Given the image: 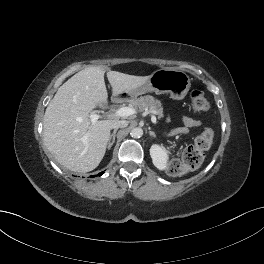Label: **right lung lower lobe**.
<instances>
[{"mask_svg": "<svg viewBox=\"0 0 264 264\" xmlns=\"http://www.w3.org/2000/svg\"><path fill=\"white\" fill-rule=\"evenodd\" d=\"M103 174V172L99 173L98 175L101 176ZM92 177H95V176H92Z\"/></svg>", "mask_w": 264, "mask_h": 264, "instance_id": "1", "label": "right lung lower lobe"}]
</instances>
